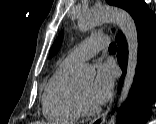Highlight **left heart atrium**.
<instances>
[{
	"label": "left heart atrium",
	"mask_w": 156,
	"mask_h": 124,
	"mask_svg": "<svg viewBox=\"0 0 156 124\" xmlns=\"http://www.w3.org/2000/svg\"><path fill=\"white\" fill-rule=\"evenodd\" d=\"M115 72L110 64H100L91 87V97L96 104L104 103L113 91Z\"/></svg>",
	"instance_id": "left-heart-atrium-1"
}]
</instances>
